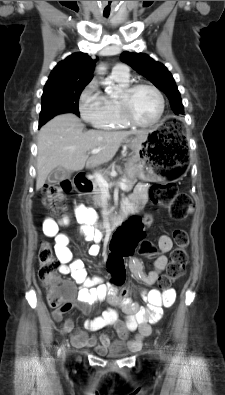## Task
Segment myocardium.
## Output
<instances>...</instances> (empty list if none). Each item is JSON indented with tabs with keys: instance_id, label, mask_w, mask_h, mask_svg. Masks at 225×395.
<instances>
[{
	"instance_id": "myocardium-1",
	"label": "myocardium",
	"mask_w": 225,
	"mask_h": 395,
	"mask_svg": "<svg viewBox=\"0 0 225 395\" xmlns=\"http://www.w3.org/2000/svg\"><path fill=\"white\" fill-rule=\"evenodd\" d=\"M141 88H147L150 89L155 93V95L158 98L159 101V112L157 117L149 123H141L138 122L137 120L134 119V117L131 114L130 111V101L133 96V94L141 89ZM118 104L121 112L122 119L128 126H133V127H138V128H151L157 125L164 114L165 111V100L163 97L162 92L154 85L149 84V83H136V84H131L125 87L124 89L121 90L120 96L118 98Z\"/></svg>"
}]
</instances>
